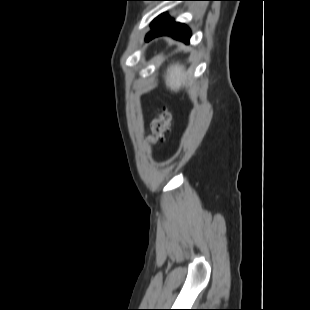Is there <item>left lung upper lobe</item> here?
Instances as JSON below:
<instances>
[{
	"label": "left lung upper lobe",
	"mask_w": 310,
	"mask_h": 310,
	"mask_svg": "<svg viewBox=\"0 0 310 310\" xmlns=\"http://www.w3.org/2000/svg\"><path fill=\"white\" fill-rule=\"evenodd\" d=\"M173 22V19H171V17L169 15H167V13H163L161 15H159L156 19H154V21L151 23V29L152 31H150L148 35H150L151 33L166 27L168 25H170ZM146 36V37H147Z\"/></svg>",
	"instance_id": "left-lung-upper-lobe-1"
}]
</instances>
